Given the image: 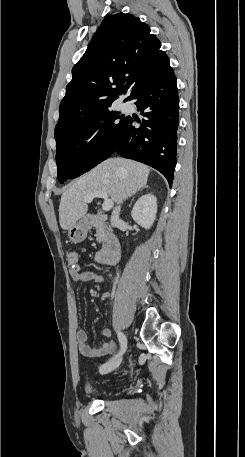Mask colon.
Here are the masks:
<instances>
[{"mask_svg": "<svg viewBox=\"0 0 245 457\" xmlns=\"http://www.w3.org/2000/svg\"><path fill=\"white\" fill-rule=\"evenodd\" d=\"M68 262L72 269H79L80 266L78 264V254L76 252H70L68 254Z\"/></svg>", "mask_w": 245, "mask_h": 457, "instance_id": "1", "label": "colon"}]
</instances>
